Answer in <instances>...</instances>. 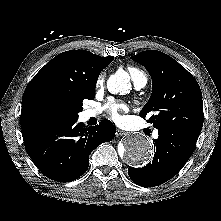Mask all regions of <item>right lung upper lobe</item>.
Here are the masks:
<instances>
[{
    "label": "right lung upper lobe",
    "instance_id": "1",
    "mask_svg": "<svg viewBox=\"0 0 221 221\" xmlns=\"http://www.w3.org/2000/svg\"><path fill=\"white\" fill-rule=\"evenodd\" d=\"M113 60L112 56L101 57L86 50L66 51L54 57L25 89L21 127L44 120L39 115V107L47 100L68 99L95 91L99 74Z\"/></svg>",
    "mask_w": 221,
    "mask_h": 221
}]
</instances>
